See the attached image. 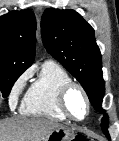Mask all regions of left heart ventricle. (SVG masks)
<instances>
[{
  "label": "left heart ventricle",
  "mask_w": 119,
  "mask_h": 141,
  "mask_svg": "<svg viewBox=\"0 0 119 141\" xmlns=\"http://www.w3.org/2000/svg\"><path fill=\"white\" fill-rule=\"evenodd\" d=\"M68 108L76 118H82L86 113V103L79 90L73 89L67 99Z\"/></svg>",
  "instance_id": "1"
}]
</instances>
